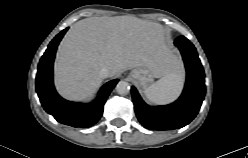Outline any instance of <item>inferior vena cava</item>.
Masks as SVG:
<instances>
[{
    "label": "inferior vena cava",
    "mask_w": 248,
    "mask_h": 158,
    "mask_svg": "<svg viewBox=\"0 0 248 158\" xmlns=\"http://www.w3.org/2000/svg\"><path fill=\"white\" fill-rule=\"evenodd\" d=\"M99 75L101 78L105 79L107 77H109L110 75V70L108 67H103L100 71H99Z\"/></svg>",
    "instance_id": "obj_1"
}]
</instances>
